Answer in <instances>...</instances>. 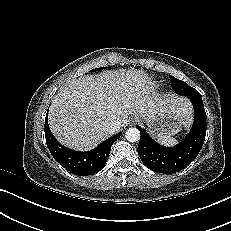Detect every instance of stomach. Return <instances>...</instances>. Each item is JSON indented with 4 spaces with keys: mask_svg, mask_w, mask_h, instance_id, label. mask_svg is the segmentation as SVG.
Wrapping results in <instances>:
<instances>
[{
    "mask_svg": "<svg viewBox=\"0 0 231 231\" xmlns=\"http://www.w3.org/2000/svg\"><path fill=\"white\" fill-rule=\"evenodd\" d=\"M143 119L146 121L149 132L154 137L174 135L180 131L182 125L180 115L170 107Z\"/></svg>",
    "mask_w": 231,
    "mask_h": 231,
    "instance_id": "0dacf381",
    "label": "stomach"
}]
</instances>
